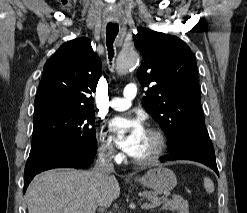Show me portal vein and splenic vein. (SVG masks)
Instances as JSON below:
<instances>
[{"label":"portal vein and splenic vein","instance_id":"1","mask_svg":"<svg viewBox=\"0 0 247 213\" xmlns=\"http://www.w3.org/2000/svg\"><path fill=\"white\" fill-rule=\"evenodd\" d=\"M161 204V202L160 201H156V202H154V203H143L142 204V206H141V208L142 209H150V208H154V207H157V206H159Z\"/></svg>","mask_w":247,"mask_h":213}]
</instances>
